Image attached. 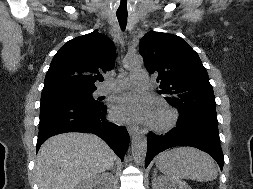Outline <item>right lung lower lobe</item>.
Wrapping results in <instances>:
<instances>
[{"mask_svg":"<svg viewBox=\"0 0 253 189\" xmlns=\"http://www.w3.org/2000/svg\"><path fill=\"white\" fill-rule=\"evenodd\" d=\"M103 103L68 100L41 101L37 151L50 136L64 132H90L104 139L120 159L128 148L129 135L123 126L109 122Z\"/></svg>","mask_w":253,"mask_h":189,"instance_id":"1","label":"right lung lower lobe"}]
</instances>
